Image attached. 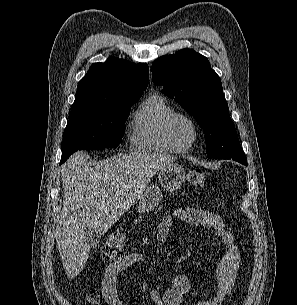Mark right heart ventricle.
I'll list each match as a JSON object with an SVG mask.
<instances>
[{"mask_svg": "<svg viewBox=\"0 0 297 305\" xmlns=\"http://www.w3.org/2000/svg\"><path fill=\"white\" fill-rule=\"evenodd\" d=\"M174 112L172 104L162 95L152 94L143 100L131 121V148L139 152H176L163 131L165 120Z\"/></svg>", "mask_w": 297, "mask_h": 305, "instance_id": "obj_1", "label": "right heart ventricle"}]
</instances>
